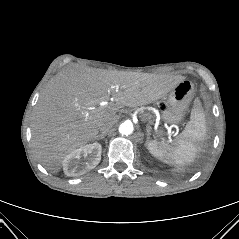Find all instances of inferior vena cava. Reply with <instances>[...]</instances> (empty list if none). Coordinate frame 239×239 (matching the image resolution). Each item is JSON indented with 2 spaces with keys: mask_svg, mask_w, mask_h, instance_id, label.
Listing matches in <instances>:
<instances>
[{
  "mask_svg": "<svg viewBox=\"0 0 239 239\" xmlns=\"http://www.w3.org/2000/svg\"><path fill=\"white\" fill-rule=\"evenodd\" d=\"M113 125H114V122L107 121L102 123L99 129L103 134V133H106L108 130H110L113 127Z\"/></svg>",
  "mask_w": 239,
  "mask_h": 239,
  "instance_id": "602c4592",
  "label": "inferior vena cava"
}]
</instances>
